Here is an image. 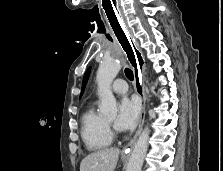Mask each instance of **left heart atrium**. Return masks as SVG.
<instances>
[{
  "label": "left heart atrium",
  "mask_w": 223,
  "mask_h": 171,
  "mask_svg": "<svg viewBox=\"0 0 223 171\" xmlns=\"http://www.w3.org/2000/svg\"><path fill=\"white\" fill-rule=\"evenodd\" d=\"M140 105L136 98H123L119 104L115 127L120 131L132 130L138 121Z\"/></svg>",
  "instance_id": "39dd6f15"
}]
</instances>
